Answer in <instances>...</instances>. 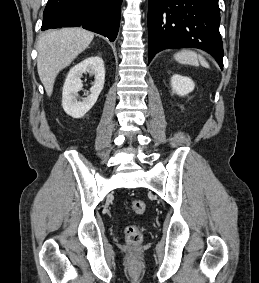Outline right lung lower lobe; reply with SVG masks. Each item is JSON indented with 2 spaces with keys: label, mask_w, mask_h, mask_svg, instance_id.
<instances>
[{
  "label": "right lung lower lobe",
  "mask_w": 259,
  "mask_h": 283,
  "mask_svg": "<svg viewBox=\"0 0 259 283\" xmlns=\"http://www.w3.org/2000/svg\"><path fill=\"white\" fill-rule=\"evenodd\" d=\"M122 0H48L41 30L61 27L84 29L116 39Z\"/></svg>",
  "instance_id": "obj_1"
}]
</instances>
